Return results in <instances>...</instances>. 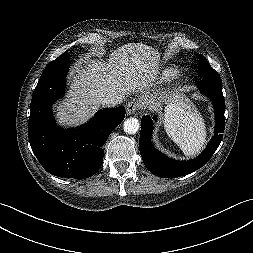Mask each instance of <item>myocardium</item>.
I'll use <instances>...</instances> for the list:
<instances>
[{"label":"myocardium","mask_w":253,"mask_h":253,"mask_svg":"<svg viewBox=\"0 0 253 253\" xmlns=\"http://www.w3.org/2000/svg\"><path fill=\"white\" fill-rule=\"evenodd\" d=\"M179 70L178 69H175V68H171V69H168L166 70L165 72V77L166 79H175L179 76Z\"/></svg>","instance_id":"f54148a6"}]
</instances>
